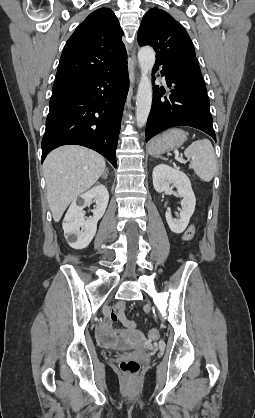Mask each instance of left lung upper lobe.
I'll list each match as a JSON object with an SVG mask.
<instances>
[{
  "instance_id": "obj_1",
  "label": "left lung upper lobe",
  "mask_w": 255,
  "mask_h": 418,
  "mask_svg": "<svg viewBox=\"0 0 255 418\" xmlns=\"http://www.w3.org/2000/svg\"><path fill=\"white\" fill-rule=\"evenodd\" d=\"M140 46L150 45L156 52V61H183L196 59L193 43L183 26L167 12L150 9L138 30Z\"/></svg>"
}]
</instances>
